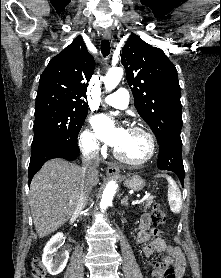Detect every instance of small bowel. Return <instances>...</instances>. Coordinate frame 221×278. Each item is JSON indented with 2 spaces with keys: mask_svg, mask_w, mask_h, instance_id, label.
<instances>
[{
  "mask_svg": "<svg viewBox=\"0 0 221 278\" xmlns=\"http://www.w3.org/2000/svg\"><path fill=\"white\" fill-rule=\"evenodd\" d=\"M136 239L139 244L144 245L142 248L144 256L150 257L154 253L165 254L162 263L153 262L149 264L151 278H164V268L167 265L173 266L177 278L182 277L185 269V259L181 250L166 244L158 236V230L152 226L149 214H144L141 217Z\"/></svg>",
  "mask_w": 221,
  "mask_h": 278,
  "instance_id": "obj_1",
  "label": "small bowel"
}]
</instances>
